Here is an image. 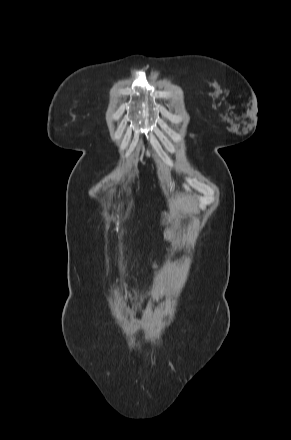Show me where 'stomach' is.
I'll return each mask as SVG.
<instances>
[{
    "label": "stomach",
    "mask_w": 291,
    "mask_h": 440,
    "mask_svg": "<svg viewBox=\"0 0 291 440\" xmlns=\"http://www.w3.org/2000/svg\"><path fill=\"white\" fill-rule=\"evenodd\" d=\"M193 209V203L191 201H188V210ZM174 236V230L173 227H168L164 232V237L167 240H171Z\"/></svg>",
    "instance_id": "obj_1"
}]
</instances>
